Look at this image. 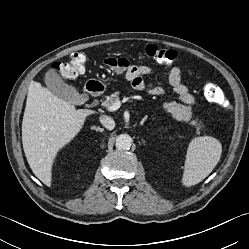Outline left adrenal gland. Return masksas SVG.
Masks as SVG:
<instances>
[{
    "mask_svg": "<svg viewBox=\"0 0 249 249\" xmlns=\"http://www.w3.org/2000/svg\"><path fill=\"white\" fill-rule=\"evenodd\" d=\"M146 119H147V115L141 120L140 125H143Z\"/></svg>",
    "mask_w": 249,
    "mask_h": 249,
    "instance_id": "1",
    "label": "left adrenal gland"
}]
</instances>
